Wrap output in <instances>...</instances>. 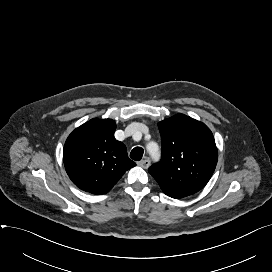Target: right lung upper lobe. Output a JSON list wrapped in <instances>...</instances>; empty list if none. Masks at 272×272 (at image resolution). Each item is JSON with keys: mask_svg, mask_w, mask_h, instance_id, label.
<instances>
[{"mask_svg": "<svg viewBox=\"0 0 272 272\" xmlns=\"http://www.w3.org/2000/svg\"><path fill=\"white\" fill-rule=\"evenodd\" d=\"M112 119H91L67 138L63 160L72 182L92 194L109 192L123 174L136 164L126 146L114 137Z\"/></svg>", "mask_w": 272, "mask_h": 272, "instance_id": "obj_1", "label": "right lung upper lobe"}]
</instances>
